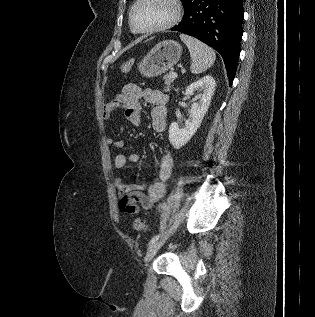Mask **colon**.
I'll return each instance as SVG.
<instances>
[{
  "label": "colon",
  "mask_w": 315,
  "mask_h": 317,
  "mask_svg": "<svg viewBox=\"0 0 315 317\" xmlns=\"http://www.w3.org/2000/svg\"><path fill=\"white\" fill-rule=\"evenodd\" d=\"M134 65V60L129 59L124 61L120 66V71L124 74L129 73ZM133 227L137 231H141L144 228V223L141 219L137 218L133 222Z\"/></svg>",
  "instance_id": "colon-1"
}]
</instances>
